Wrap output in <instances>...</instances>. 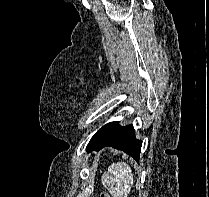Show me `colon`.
I'll return each instance as SVG.
<instances>
[{"mask_svg":"<svg viewBox=\"0 0 209 197\" xmlns=\"http://www.w3.org/2000/svg\"><path fill=\"white\" fill-rule=\"evenodd\" d=\"M100 197H110V196H109V194H107V193H102V194L100 195Z\"/></svg>","mask_w":209,"mask_h":197,"instance_id":"obj_1","label":"colon"}]
</instances>
